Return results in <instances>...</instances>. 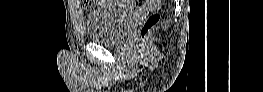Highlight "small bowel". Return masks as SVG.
I'll return each instance as SVG.
<instances>
[{
    "label": "small bowel",
    "instance_id": "small-bowel-1",
    "mask_svg": "<svg viewBox=\"0 0 263 92\" xmlns=\"http://www.w3.org/2000/svg\"><path fill=\"white\" fill-rule=\"evenodd\" d=\"M151 2H159V1H151ZM73 3H74L75 9L78 10V9H79V4H78V2H77V1H73ZM129 4H130V3H129ZM131 4H133V3H131Z\"/></svg>",
    "mask_w": 263,
    "mask_h": 92
}]
</instances>
